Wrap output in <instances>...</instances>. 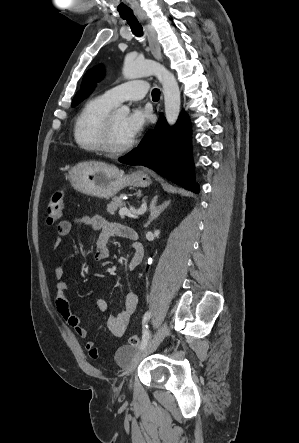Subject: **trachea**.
<instances>
[{
    "instance_id": "trachea-1",
    "label": "trachea",
    "mask_w": 299,
    "mask_h": 443,
    "mask_svg": "<svg viewBox=\"0 0 299 443\" xmlns=\"http://www.w3.org/2000/svg\"><path fill=\"white\" fill-rule=\"evenodd\" d=\"M123 19H126L129 24L133 34L137 37L143 36V28L142 25L137 20L136 16L132 12H124L122 15ZM160 98V90L155 88L152 90V99L158 100Z\"/></svg>"
}]
</instances>
